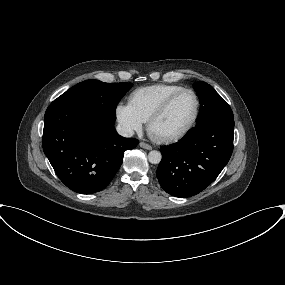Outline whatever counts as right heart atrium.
Returning a JSON list of instances; mask_svg holds the SVG:
<instances>
[{
    "label": "right heart atrium",
    "mask_w": 285,
    "mask_h": 285,
    "mask_svg": "<svg viewBox=\"0 0 285 285\" xmlns=\"http://www.w3.org/2000/svg\"><path fill=\"white\" fill-rule=\"evenodd\" d=\"M115 116L121 129L126 134L131 135L142 129L143 121L130 104L119 103L115 108Z\"/></svg>",
    "instance_id": "right-heart-atrium-1"
}]
</instances>
